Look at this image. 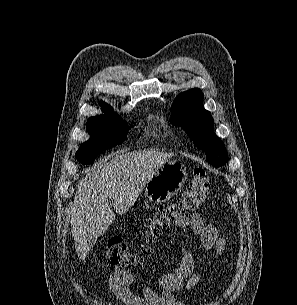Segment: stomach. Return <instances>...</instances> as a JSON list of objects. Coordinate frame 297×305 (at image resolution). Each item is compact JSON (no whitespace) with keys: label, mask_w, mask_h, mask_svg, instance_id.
Instances as JSON below:
<instances>
[{"label":"stomach","mask_w":297,"mask_h":305,"mask_svg":"<svg viewBox=\"0 0 297 305\" xmlns=\"http://www.w3.org/2000/svg\"><path fill=\"white\" fill-rule=\"evenodd\" d=\"M186 179V167L180 161L168 160L147 182L145 196L150 202H166L182 188Z\"/></svg>","instance_id":"0dacf381"}]
</instances>
